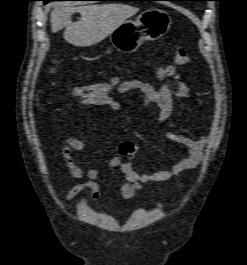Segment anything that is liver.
<instances>
[{
	"instance_id": "1",
	"label": "liver",
	"mask_w": 247,
	"mask_h": 265,
	"mask_svg": "<svg viewBox=\"0 0 247 265\" xmlns=\"http://www.w3.org/2000/svg\"><path fill=\"white\" fill-rule=\"evenodd\" d=\"M138 8L125 4H103L73 6L56 3L50 15L53 33L65 28L64 39L78 47H88L101 42L128 18L135 15ZM74 13H80V19L71 21Z\"/></svg>"
}]
</instances>
